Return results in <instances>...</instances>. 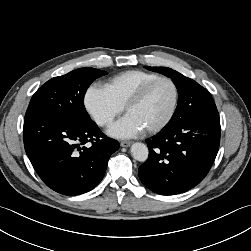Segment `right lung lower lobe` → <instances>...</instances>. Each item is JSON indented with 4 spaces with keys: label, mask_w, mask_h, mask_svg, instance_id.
Returning <instances> with one entry per match:
<instances>
[{
    "label": "right lung lower lobe",
    "mask_w": 251,
    "mask_h": 251,
    "mask_svg": "<svg viewBox=\"0 0 251 251\" xmlns=\"http://www.w3.org/2000/svg\"><path fill=\"white\" fill-rule=\"evenodd\" d=\"M119 146L95 122L78 125L44 111H26V154L42 181L60 194L74 196L96 187Z\"/></svg>",
    "instance_id": "right-lung-lower-lobe-1"
}]
</instances>
